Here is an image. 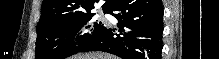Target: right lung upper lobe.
I'll return each mask as SVG.
<instances>
[{
    "mask_svg": "<svg viewBox=\"0 0 219 59\" xmlns=\"http://www.w3.org/2000/svg\"><path fill=\"white\" fill-rule=\"evenodd\" d=\"M115 0H106L103 10L109 11ZM98 0H43L41 18L37 27L45 23L77 15L91 13Z\"/></svg>",
    "mask_w": 219,
    "mask_h": 59,
    "instance_id": "cb5924a9",
    "label": "right lung upper lobe"
}]
</instances>
